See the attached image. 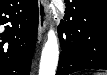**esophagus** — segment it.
<instances>
[{"label": "esophagus", "mask_w": 107, "mask_h": 75, "mask_svg": "<svg viewBox=\"0 0 107 75\" xmlns=\"http://www.w3.org/2000/svg\"><path fill=\"white\" fill-rule=\"evenodd\" d=\"M39 24H38V40L40 41L46 31L48 24L47 5L44 0H39L38 3Z\"/></svg>", "instance_id": "obj_1"}]
</instances>
